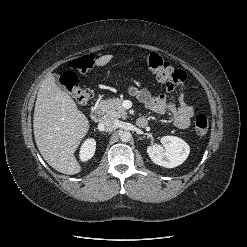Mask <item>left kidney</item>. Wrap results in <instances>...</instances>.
I'll return each mask as SVG.
<instances>
[{
    "label": "left kidney",
    "instance_id": "5707ae66",
    "mask_svg": "<svg viewBox=\"0 0 247 247\" xmlns=\"http://www.w3.org/2000/svg\"><path fill=\"white\" fill-rule=\"evenodd\" d=\"M162 148L158 144L147 147L150 159L157 165L165 168H174L181 165L190 153L189 145L179 137L164 136L161 138Z\"/></svg>",
    "mask_w": 247,
    "mask_h": 247
}]
</instances>
